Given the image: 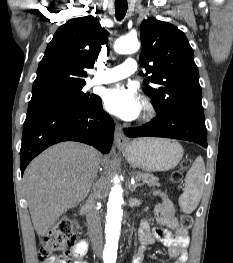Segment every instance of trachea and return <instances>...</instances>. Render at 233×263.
<instances>
[{
  "mask_svg": "<svg viewBox=\"0 0 233 263\" xmlns=\"http://www.w3.org/2000/svg\"><path fill=\"white\" fill-rule=\"evenodd\" d=\"M127 12V1L116 0L115 1V16L118 21H121Z\"/></svg>",
  "mask_w": 233,
  "mask_h": 263,
  "instance_id": "trachea-1",
  "label": "trachea"
}]
</instances>
